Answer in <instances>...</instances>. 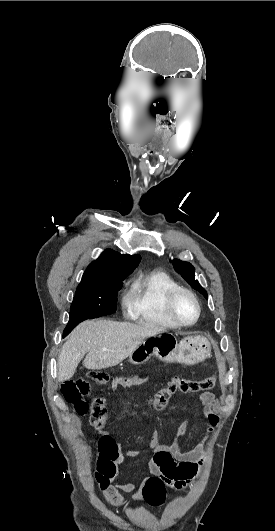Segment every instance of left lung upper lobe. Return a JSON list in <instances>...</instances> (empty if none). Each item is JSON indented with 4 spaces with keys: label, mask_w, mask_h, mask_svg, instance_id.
I'll return each instance as SVG.
<instances>
[{
    "label": "left lung upper lobe",
    "mask_w": 275,
    "mask_h": 531,
    "mask_svg": "<svg viewBox=\"0 0 275 531\" xmlns=\"http://www.w3.org/2000/svg\"><path fill=\"white\" fill-rule=\"evenodd\" d=\"M176 272L197 291H199L206 299L208 298L206 290L195 279V268L189 263L179 259L170 260Z\"/></svg>",
    "instance_id": "1"
}]
</instances>
